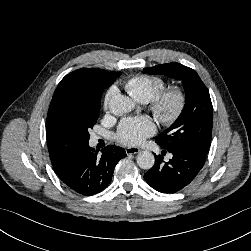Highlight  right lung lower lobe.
Here are the masks:
<instances>
[{
  "instance_id": "right-lung-lower-lobe-1",
  "label": "right lung lower lobe",
  "mask_w": 251,
  "mask_h": 251,
  "mask_svg": "<svg viewBox=\"0 0 251 251\" xmlns=\"http://www.w3.org/2000/svg\"><path fill=\"white\" fill-rule=\"evenodd\" d=\"M125 156L123 148L114 146H107L98 155V150L85 143L75 147L52 165L68 188L90 196L107 188L116 164Z\"/></svg>"
}]
</instances>
